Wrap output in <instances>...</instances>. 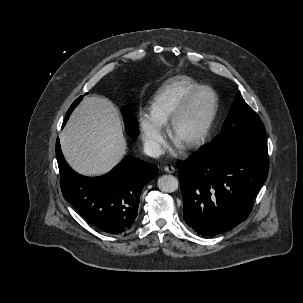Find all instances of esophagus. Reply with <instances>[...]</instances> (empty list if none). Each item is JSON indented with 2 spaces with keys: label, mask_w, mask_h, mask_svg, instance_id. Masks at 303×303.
Wrapping results in <instances>:
<instances>
[{
  "label": "esophagus",
  "mask_w": 303,
  "mask_h": 303,
  "mask_svg": "<svg viewBox=\"0 0 303 303\" xmlns=\"http://www.w3.org/2000/svg\"><path fill=\"white\" fill-rule=\"evenodd\" d=\"M163 170H164L165 172H167V173H170V174H172V173L175 172V168L172 167V166H165V167L163 168Z\"/></svg>",
  "instance_id": "34e87169"
}]
</instances>
